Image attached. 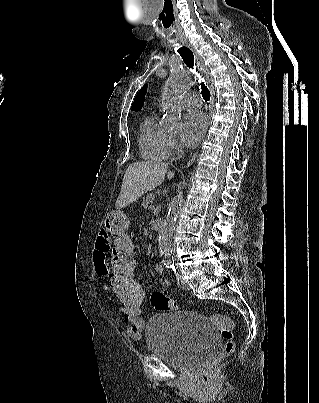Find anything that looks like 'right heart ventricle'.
Masks as SVG:
<instances>
[{
    "instance_id": "obj_1",
    "label": "right heart ventricle",
    "mask_w": 319,
    "mask_h": 403,
    "mask_svg": "<svg viewBox=\"0 0 319 403\" xmlns=\"http://www.w3.org/2000/svg\"><path fill=\"white\" fill-rule=\"evenodd\" d=\"M169 135L153 115L144 118L140 125V154L146 160H164L169 155Z\"/></svg>"
}]
</instances>
